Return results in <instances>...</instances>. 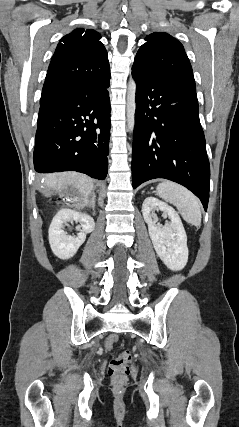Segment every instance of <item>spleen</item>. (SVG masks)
Wrapping results in <instances>:
<instances>
[{
	"label": "spleen",
	"instance_id": "3e777b00",
	"mask_svg": "<svg viewBox=\"0 0 239 427\" xmlns=\"http://www.w3.org/2000/svg\"><path fill=\"white\" fill-rule=\"evenodd\" d=\"M156 195L173 204L186 222L200 226V202L189 190L174 182L164 181L157 185Z\"/></svg>",
	"mask_w": 239,
	"mask_h": 427
}]
</instances>
